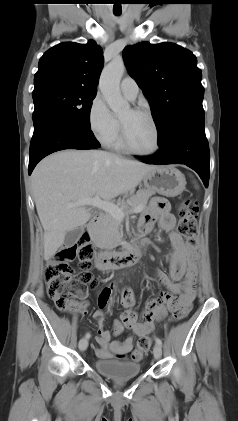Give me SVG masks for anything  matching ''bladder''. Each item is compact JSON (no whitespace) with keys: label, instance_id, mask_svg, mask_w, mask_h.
Masks as SVG:
<instances>
[{"label":"bladder","instance_id":"1","mask_svg":"<svg viewBox=\"0 0 238 421\" xmlns=\"http://www.w3.org/2000/svg\"><path fill=\"white\" fill-rule=\"evenodd\" d=\"M94 366L99 373L114 380H129L141 372V364L137 361L100 358L94 362Z\"/></svg>","mask_w":238,"mask_h":421}]
</instances>
